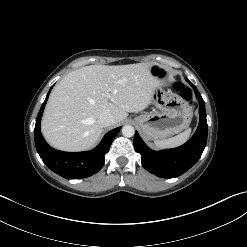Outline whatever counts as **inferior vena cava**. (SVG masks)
<instances>
[{
  "mask_svg": "<svg viewBox=\"0 0 247 247\" xmlns=\"http://www.w3.org/2000/svg\"><path fill=\"white\" fill-rule=\"evenodd\" d=\"M98 123L102 127H108L115 123V118L112 114L108 112L101 113L98 117Z\"/></svg>",
  "mask_w": 247,
  "mask_h": 247,
  "instance_id": "obj_1",
  "label": "inferior vena cava"
}]
</instances>
